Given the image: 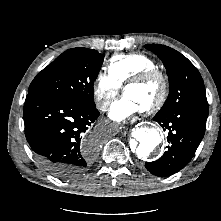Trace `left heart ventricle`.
<instances>
[{
	"instance_id": "obj_1",
	"label": "left heart ventricle",
	"mask_w": 221,
	"mask_h": 221,
	"mask_svg": "<svg viewBox=\"0 0 221 221\" xmlns=\"http://www.w3.org/2000/svg\"><path fill=\"white\" fill-rule=\"evenodd\" d=\"M125 95L132 98L141 109L152 104L159 96L160 85L158 82H146L133 85L125 90Z\"/></svg>"
}]
</instances>
